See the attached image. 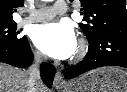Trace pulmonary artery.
<instances>
[{"label": "pulmonary artery", "mask_w": 127, "mask_h": 92, "mask_svg": "<svg viewBox=\"0 0 127 92\" xmlns=\"http://www.w3.org/2000/svg\"><path fill=\"white\" fill-rule=\"evenodd\" d=\"M68 11L64 1H56L52 7H42L30 12L27 18L22 20L23 23L42 22L53 18L56 14H64Z\"/></svg>", "instance_id": "e3ab8cb5"}]
</instances>
